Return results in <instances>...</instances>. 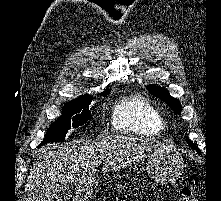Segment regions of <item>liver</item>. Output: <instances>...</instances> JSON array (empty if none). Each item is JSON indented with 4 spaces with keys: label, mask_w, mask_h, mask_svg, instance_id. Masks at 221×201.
<instances>
[{
    "label": "liver",
    "mask_w": 221,
    "mask_h": 201,
    "mask_svg": "<svg viewBox=\"0 0 221 201\" xmlns=\"http://www.w3.org/2000/svg\"><path fill=\"white\" fill-rule=\"evenodd\" d=\"M174 150L142 138L111 135L94 140H77L42 149L27 180L26 201H53L60 185L78 188L97 184L99 170L115 171L159 151Z\"/></svg>",
    "instance_id": "6515ba94"
}]
</instances>
